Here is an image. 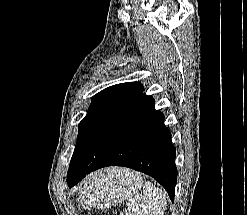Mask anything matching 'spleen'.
<instances>
[{
  "instance_id": "obj_1",
  "label": "spleen",
  "mask_w": 247,
  "mask_h": 215,
  "mask_svg": "<svg viewBox=\"0 0 247 215\" xmlns=\"http://www.w3.org/2000/svg\"><path fill=\"white\" fill-rule=\"evenodd\" d=\"M127 174H130V171L127 170ZM138 178L141 181L139 176ZM125 199L128 201L126 215H164L166 210V193L149 181L143 184V194L133 192Z\"/></svg>"
}]
</instances>
